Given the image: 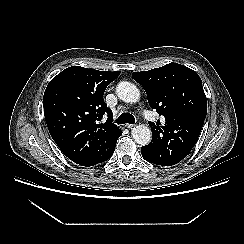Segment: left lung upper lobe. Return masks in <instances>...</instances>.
<instances>
[{
	"instance_id": "5c2ea615",
	"label": "left lung upper lobe",
	"mask_w": 244,
	"mask_h": 244,
	"mask_svg": "<svg viewBox=\"0 0 244 244\" xmlns=\"http://www.w3.org/2000/svg\"><path fill=\"white\" fill-rule=\"evenodd\" d=\"M134 80L147 92L153 109L165 124L148 122L152 140L146 146L161 166L179 163L192 150L201 132L207 100L199 75L178 63L149 71L133 72Z\"/></svg>"
}]
</instances>
